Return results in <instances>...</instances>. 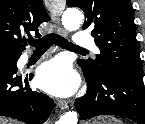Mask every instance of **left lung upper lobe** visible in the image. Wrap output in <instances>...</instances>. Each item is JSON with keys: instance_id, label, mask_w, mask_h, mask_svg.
Wrapping results in <instances>:
<instances>
[{"instance_id": "5c2ea615", "label": "left lung upper lobe", "mask_w": 145, "mask_h": 124, "mask_svg": "<svg viewBox=\"0 0 145 124\" xmlns=\"http://www.w3.org/2000/svg\"><path fill=\"white\" fill-rule=\"evenodd\" d=\"M67 5L84 11L83 29H92L101 51L95 60H80L79 64L94 76L112 68L143 75L130 0H67Z\"/></svg>"}]
</instances>
